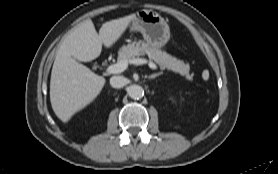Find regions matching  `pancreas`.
Masks as SVG:
<instances>
[{
	"label": "pancreas",
	"mask_w": 278,
	"mask_h": 174,
	"mask_svg": "<svg viewBox=\"0 0 278 174\" xmlns=\"http://www.w3.org/2000/svg\"><path fill=\"white\" fill-rule=\"evenodd\" d=\"M143 54H147L161 69L171 70L185 76L187 80H192V75L189 74L190 67L188 63H184L162 50L150 47L145 42H133L123 46L118 53V61L130 62L135 57Z\"/></svg>",
	"instance_id": "cf45deb5"
}]
</instances>
